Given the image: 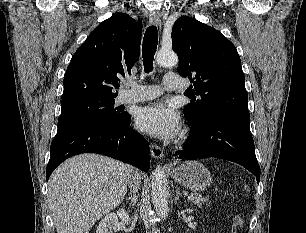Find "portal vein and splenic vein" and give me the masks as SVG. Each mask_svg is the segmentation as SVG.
<instances>
[{
    "label": "portal vein and splenic vein",
    "mask_w": 306,
    "mask_h": 233,
    "mask_svg": "<svg viewBox=\"0 0 306 233\" xmlns=\"http://www.w3.org/2000/svg\"><path fill=\"white\" fill-rule=\"evenodd\" d=\"M193 199H194V196H192V195H191V196H188V200H189V201H191V200H193Z\"/></svg>",
    "instance_id": "18ae733b"
}]
</instances>
